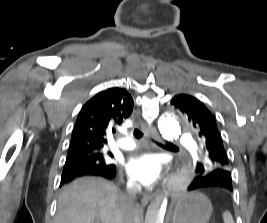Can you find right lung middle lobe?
<instances>
[{"instance_id": "1", "label": "right lung middle lobe", "mask_w": 267, "mask_h": 223, "mask_svg": "<svg viewBox=\"0 0 267 223\" xmlns=\"http://www.w3.org/2000/svg\"><path fill=\"white\" fill-rule=\"evenodd\" d=\"M111 153L104 152L96 146H86L68 152L63 173L86 172L116 168L109 158Z\"/></svg>"}]
</instances>
